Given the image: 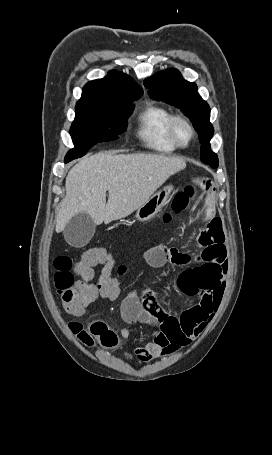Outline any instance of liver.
Wrapping results in <instances>:
<instances>
[{"label": "liver", "mask_w": 272, "mask_h": 455, "mask_svg": "<svg viewBox=\"0 0 272 455\" xmlns=\"http://www.w3.org/2000/svg\"><path fill=\"white\" fill-rule=\"evenodd\" d=\"M186 167L183 159L153 154L100 152L82 158L68 173L66 196L56 215V232L78 213L95 225L130 215L144 205L174 173ZM106 191L109 193L106 203Z\"/></svg>", "instance_id": "liver-1"}]
</instances>
